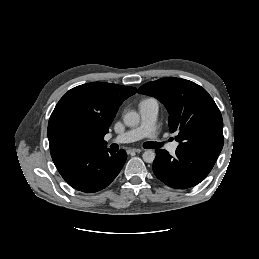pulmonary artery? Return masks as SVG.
<instances>
[{"mask_svg":"<svg viewBox=\"0 0 259 259\" xmlns=\"http://www.w3.org/2000/svg\"><path fill=\"white\" fill-rule=\"evenodd\" d=\"M159 104L153 98L145 99L139 104L141 121L139 125L113 137L112 143H129L142 138L156 139L155 123L158 115ZM178 147L177 142L167 144L166 148L170 153H175Z\"/></svg>","mask_w":259,"mask_h":259,"instance_id":"e3ab8cb5","label":"pulmonary artery"}]
</instances>
